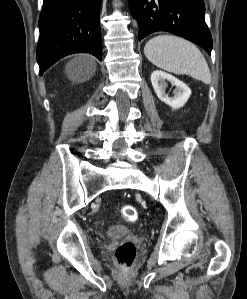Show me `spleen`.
<instances>
[{"label": "spleen", "mask_w": 247, "mask_h": 299, "mask_svg": "<svg viewBox=\"0 0 247 299\" xmlns=\"http://www.w3.org/2000/svg\"><path fill=\"white\" fill-rule=\"evenodd\" d=\"M147 59L155 66L174 74H186L211 83V73L201 51L190 41L172 35L150 39L144 48Z\"/></svg>", "instance_id": "obj_1"}]
</instances>
